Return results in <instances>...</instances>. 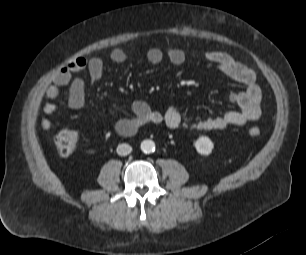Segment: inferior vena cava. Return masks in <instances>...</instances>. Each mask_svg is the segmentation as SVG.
<instances>
[{"label": "inferior vena cava", "mask_w": 306, "mask_h": 255, "mask_svg": "<svg viewBox=\"0 0 306 255\" xmlns=\"http://www.w3.org/2000/svg\"><path fill=\"white\" fill-rule=\"evenodd\" d=\"M132 152V147L129 144L122 143L117 146V154L126 156Z\"/></svg>", "instance_id": "1"}]
</instances>
